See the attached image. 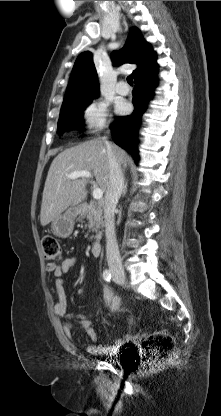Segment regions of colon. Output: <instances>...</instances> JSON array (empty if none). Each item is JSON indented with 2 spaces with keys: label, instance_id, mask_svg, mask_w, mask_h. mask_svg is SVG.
Here are the masks:
<instances>
[{
  "label": "colon",
  "instance_id": "colon-1",
  "mask_svg": "<svg viewBox=\"0 0 221 416\" xmlns=\"http://www.w3.org/2000/svg\"><path fill=\"white\" fill-rule=\"evenodd\" d=\"M42 248L46 259L57 261L61 258V247L55 237H43ZM174 346L173 337L166 332L155 331L149 334L143 341L145 361L150 364L165 359Z\"/></svg>",
  "mask_w": 221,
  "mask_h": 416
}]
</instances>
